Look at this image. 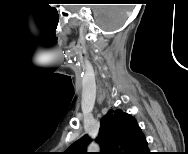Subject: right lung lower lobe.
I'll list each match as a JSON object with an SVG mask.
<instances>
[{
    "instance_id": "98d812e1",
    "label": "right lung lower lobe",
    "mask_w": 188,
    "mask_h": 154,
    "mask_svg": "<svg viewBox=\"0 0 188 154\" xmlns=\"http://www.w3.org/2000/svg\"><path fill=\"white\" fill-rule=\"evenodd\" d=\"M144 154H150L149 149Z\"/></svg>"
}]
</instances>
